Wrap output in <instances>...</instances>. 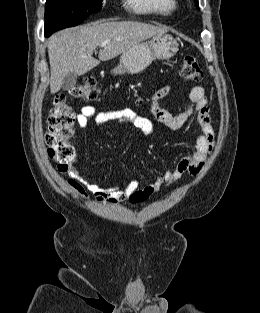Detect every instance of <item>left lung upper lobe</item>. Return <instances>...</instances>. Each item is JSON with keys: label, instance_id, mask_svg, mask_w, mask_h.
<instances>
[{"label": "left lung upper lobe", "instance_id": "5c2ea615", "mask_svg": "<svg viewBox=\"0 0 260 313\" xmlns=\"http://www.w3.org/2000/svg\"><path fill=\"white\" fill-rule=\"evenodd\" d=\"M195 2L198 4V0H195Z\"/></svg>", "mask_w": 260, "mask_h": 313}]
</instances>
